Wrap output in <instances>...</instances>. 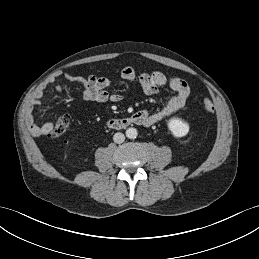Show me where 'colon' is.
I'll use <instances>...</instances> for the list:
<instances>
[{
  "label": "colon",
  "mask_w": 259,
  "mask_h": 259,
  "mask_svg": "<svg viewBox=\"0 0 259 259\" xmlns=\"http://www.w3.org/2000/svg\"><path fill=\"white\" fill-rule=\"evenodd\" d=\"M203 106H204V109L207 112L211 113V112L214 111V105H213V103L210 100H204ZM69 126H70V118H69V116H67V115L61 116L57 120V122H56V124H55V126H54V128L52 130V132L50 133V136L51 137H59V136L65 134L67 132Z\"/></svg>",
  "instance_id": "1"
}]
</instances>
